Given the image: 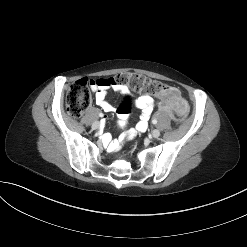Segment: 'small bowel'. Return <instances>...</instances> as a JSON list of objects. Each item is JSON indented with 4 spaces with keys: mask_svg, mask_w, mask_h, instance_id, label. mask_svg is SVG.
Masks as SVG:
<instances>
[{
    "mask_svg": "<svg viewBox=\"0 0 247 247\" xmlns=\"http://www.w3.org/2000/svg\"><path fill=\"white\" fill-rule=\"evenodd\" d=\"M98 81L101 83L94 84L92 86V90L95 92L96 104L105 112H111L114 110V107L106 100L109 89H112L123 96L130 94L127 86L113 83L111 79H98ZM135 106L141 110V117L137 123L136 129L138 131H145L148 127V121L154 108V100L151 96L144 94L135 100ZM131 134H133V132L129 133V135ZM104 142L110 147L111 150H115L119 146L118 142L111 141L109 137H105Z\"/></svg>",
    "mask_w": 247,
    "mask_h": 247,
    "instance_id": "obj_1",
    "label": "small bowel"
}]
</instances>
